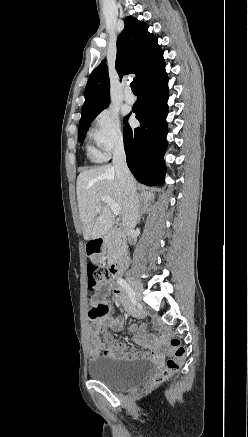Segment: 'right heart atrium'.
I'll return each mask as SVG.
<instances>
[{
	"label": "right heart atrium",
	"instance_id": "right-heart-atrium-1",
	"mask_svg": "<svg viewBox=\"0 0 248 437\" xmlns=\"http://www.w3.org/2000/svg\"><path fill=\"white\" fill-rule=\"evenodd\" d=\"M89 138L95 145L94 154L105 159L124 141L118 114L111 109H103L92 121Z\"/></svg>",
	"mask_w": 248,
	"mask_h": 437
}]
</instances>
